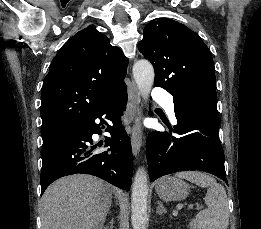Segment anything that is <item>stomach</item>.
<instances>
[{"label":"stomach","mask_w":261,"mask_h":229,"mask_svg":"<svg viewBox=\"0 0 261 229\" xmlns=\"http://www.w3.org/2000/svg\"><path fill=\"white\" fill-rule=\"evenodd\" d=\"M155 191L162 201H183L189 195L190 187L175 177H163L155 183Z\"/></svg>","instance_id":"1"}]
</instances>
